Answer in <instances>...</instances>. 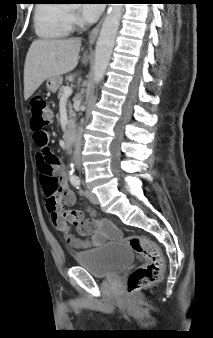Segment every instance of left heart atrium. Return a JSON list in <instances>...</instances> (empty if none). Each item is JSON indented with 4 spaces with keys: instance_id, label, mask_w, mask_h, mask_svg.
I'll return each instance as SVG.
<instances>
[{
    "instance_id": "obj_1",
    "label": "left heart atrium",
    "mask_w": 213,
    "mask_h": 338,
    "mask_svg": "<svg viewBox=\"0 0 213 338\" xmlns=\"http://www.w3.org/2000/svg\"><path fill=\"white\" fill-rule=\"evenodd\" d=\"M101 5L83 4L81 6L82 16L86 21H95L101 14Z\"/></svg>"
}]
</instances>
